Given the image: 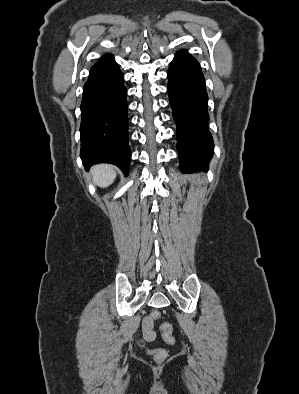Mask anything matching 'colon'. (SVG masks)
I'll return each mask as SVG.
<instances>
[{
	"instance_id": "5ec220e1",
	"label": "colon",
	"mask_w": 299,
	"mask_h": 394,
	"mask_svg": "<svg viewBox=\"0 0 299 394\" xmlns=\"http://www.w3.org/2000/svg\"><path fill=\"white\" fill-rule=\"evenodd\" d=\"M161 316V313L157 310L153 311L151 313V317L154 320H158ZM161 331H162V337L165 342L168 344H174L175 339L172 335V326L169 323H163L161 324ZM148 353L152 356L153 360L155 362H163L167 358V351L163 348H150L148 349Z\"/></svg>"
}]
</instances>
